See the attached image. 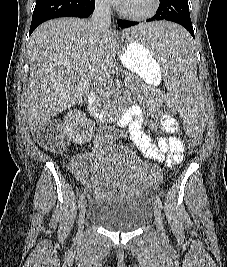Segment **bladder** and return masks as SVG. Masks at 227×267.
Returning <instances> with one entry per match:
<instances>
[{
	"mask_svg": "<svg viewBox=\"0 0 227 267\" xmlns=\"http://www.w3.org/2000/svg\"><path fill=\"white\" fill-rule=\"evenodd\" d=\"M152 215L151 198L147 194L118 200L93 199L86 211L87 219L114 232H131L147 222Z\"/></svg>",
	"mask_w": 227,
	"mask_h": 267,
	"instance_id": "1",
	"label": "bladder"
}]
</instances>
